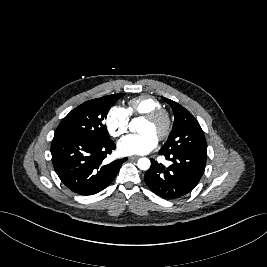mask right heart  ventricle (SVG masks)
Segmentation results:
<instances>
[{
	"instance_id": "obj_1",
	"label": "right heart ventricle",
	"mask_w": 267,
	"mask_h": 267,
	"mask_svg": "<svg viewBox=\"0 0 267 267\" xmlns=\"http://www.w3.org/2000/svg\"><path fill=\"white\" fill-rule=\"evenodd\" d=\"M162 108L160 101L152 96L141 95L128 101L127 112L129 115L139 116Z\"/></svg>"
}]
</instances>
